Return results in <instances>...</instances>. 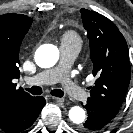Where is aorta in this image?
<instances>
[{"label":"aorta","mask_w":133,"mask_h":133,"mask_svg":"<svg viewBox=\"0 0 133 133\" xmlns=\"http://www.w3.org/2000/svg\"><path fill=\"white\" fill-rule=\"evenodd\" d=\"M59 59V50L52 44L41 46L35 54V62L41 68H50L54 66ZM69 119L75 124H81L85 121V111L74 106L69 110Z\"/></svg>","instance_id":"1"}]
</instances>
